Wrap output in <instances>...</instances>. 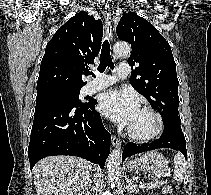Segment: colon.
<instances>
[{
  "instance_id": "obj_1",
  "label": "colon",
  "mask_w": 211,
  "mask_h": 195,
  "mask_svg": "<svg viewBox=\"0 0 211 195\" xmlns=\"http://www.w3.org/2000/svg\"><path fill=\"white\" fill-rule=\"evenodd\" d=\"M164 193H165V195H171L172 194V188L171 187H165Z\"/></svg>"
}]
</instances>
